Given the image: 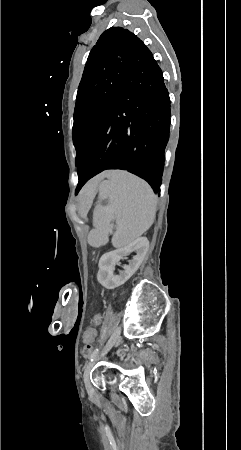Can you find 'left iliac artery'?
<instances>
[{"label": "left iliac artery", "mask_w": 241, "mask_h": 450, "mask_svg": "<svg viewBox=\"0 0 241 450\" xmlns=\"http://www.w3.org/2000/svg\"><path fill=\"white\" fill-rule=\"evenodd\" d=\"M98 352H99V348H96V349L91 353V355H90V357H89V360H90V361H93V359L97 356Z\"/></svg>", "instance_id": "1"}]
</instances>
